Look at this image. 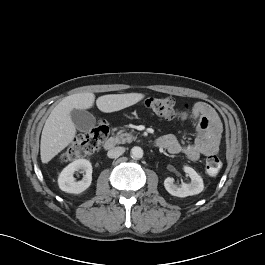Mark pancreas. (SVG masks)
<instances>
[{
  "mask_svg": "<svg viewBox=\"0 0 265 265\" xmlns=\"http://www.w3.org/2000/svg\"><path fill=\"white\" fill-rule=\"evenodd\" d=\"M134 140H136L135 136H133L131 133L123 131H119L115 137V142L117 144L131 143Z\"/></svg>",
  "mask_w": 265,
  "mask_h": 265,
  "instance_id": "pancreas-1",
  "label": "pancreas"
}]
</instances>
